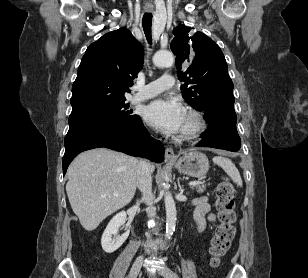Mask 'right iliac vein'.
Listing matches in <instances>:
<instances>
[{
    "instance_id": "1",
    "label": "right iliac vein",
    "mask_w": 308,
    "mask_h": 278,
    "mask_svg": "<svg viewBox=\"0 0 308 278\" xmlns=\"http://www.w3.org/2000/svg\"><path fill=\"white\" fill-rule=\"evenodd\" d=\"M143 259H144L143 255H140L139 257H137V259L135 260V262L133 263V265L130 269L129 278H136L137 277V275H138V273L141 269Z\"/></svg>"
}]
</instances>
